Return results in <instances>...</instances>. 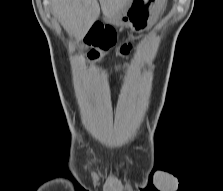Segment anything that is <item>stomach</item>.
I'll list each match as a JSON object with an SVG mask.
<instances>
[{"mask_svg":"<svg viewBox=\"0 0 223 191\" xmlns=\"http://www.w3.org/2000/svg\"><path fill=\"white\" fill-rule=\"evenodd\" d=\"M164 0H131L128 5L113 17L105 20L117 26L130 28L132 31H143L157 19Z\"/></svg>","mask_w":223,"mask_h":191,"instance_id":"stomach-1","label":"stomach"}]
</instances>
